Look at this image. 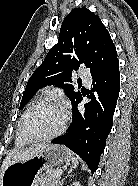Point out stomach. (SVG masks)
Wrapping results in <instances>:
<instances>
[{"instance_id": "1", "label": "stomach", "mask_w": 138, "mask_h": 186, "mask_svg": "<svg viewBox=\"0 0 138 186\" xmlns=\"http://www.w3.org/2000/svg\"><path fill=\"white\" fill-rule=\"evenodd\" d=\"M71 152L62 145H47L46 148L27 161L10 164L4 171L0 186H34L38 175L49 168L68 164Z\"/></svg>"}]
</instances>
